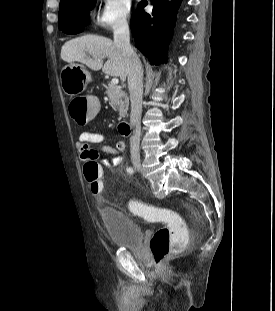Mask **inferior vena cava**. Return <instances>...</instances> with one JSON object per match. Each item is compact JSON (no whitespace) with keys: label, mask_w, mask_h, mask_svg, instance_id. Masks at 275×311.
Returning a JSON list of instances; mask_svg holds the SVG:
<instances>
[{"label":"inferior vena cava","mask_w":275,"mask_h":311,"mask_svg":"<svg viewBox=\"0 0 275 311\" xmlns=\"http://www.w3.org/2000/svg\"><path fill=\"white\" fill-rule=\"evenodd\" d=\"M114 43L128 59V88L131 101L130 123L133 127V135L130 138V153L132 159H139L143 68L140 59L130 45L129 26L126 21L120 23L114 30Z\"/></svg>","instance_id":"1"}]
</instances>
